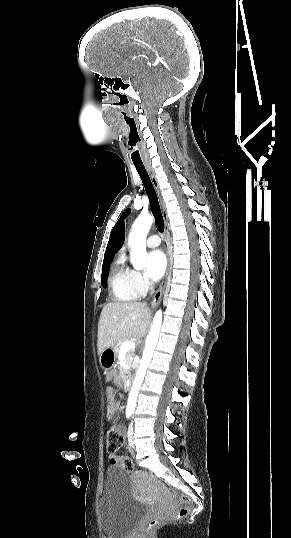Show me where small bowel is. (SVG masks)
Instances as JSON below:
<instances>
[{
    "mask_svg": "<svg viewBox=\"0 0 291 538\" xmlns=\"http://www.w3.org/2000/svg\"><path fill=\"white\" fill-rule=\"evenodd\" d=\"M108 379L109 380L113 379L116 384L122 385V379L120 377H118V376L109 377ZM106 395H107V412H108V416L110 418H115L116 414H117V410H118V405H117V402L115 400L113 387L108 386L106 388ZM123 458L124 457H122V456H110L109 457V462H110L111 465L116 466V465H118L117 463L120 460H122Z\"/></svg>",
    "mask_w": 291,
    "mask_h": 538,
    "instance_id": "small-bowel-1",
    "label": "small bowel"
}]
</instances>
